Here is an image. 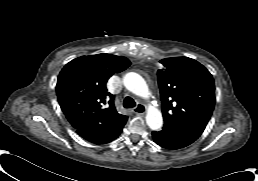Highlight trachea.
Instances as JSON below:
<instances>
[{
    "instance_id": "obj_1",
    "label": "trachea",
    "mask_w": 258,
    "mask_h": 181,
    "mask_svg": "<svg viewBox=\"0 0 258 181\" xmlns=\"http://www.w3.org/2000/svg\"><path fill=\"white\" fill-rule=\"evenodd\" d=\"M123 106L125 108H133L136 106V103L131 97L127 96L123 101Z\"/></svg>"
}]
</instances>
